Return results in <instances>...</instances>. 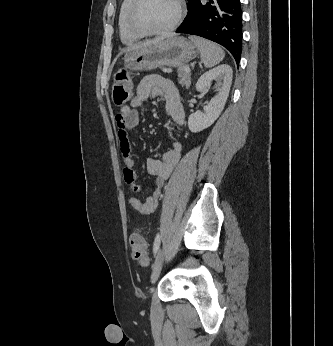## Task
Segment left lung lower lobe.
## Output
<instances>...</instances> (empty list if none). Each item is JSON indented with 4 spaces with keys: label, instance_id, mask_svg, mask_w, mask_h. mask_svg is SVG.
Listing matches in <instances>:
<instances>
[{
    "label": "left lung lower lobe",
    "instance_id": "1",
    "mask_svg": "<svg viewBox=\"0 0 333 346\" xmlns=\"http://www.w3.org/2000/svg\"><path fill=\"white\" fill-rule=\"evenodd\" d=\"M242 10L240 0L188 1V13L177 33L212 40L230 51L237 63L242 52Z\"/></svg>",
    "mask_w": 333,
    "mask_h": 346
}]
</instances>
